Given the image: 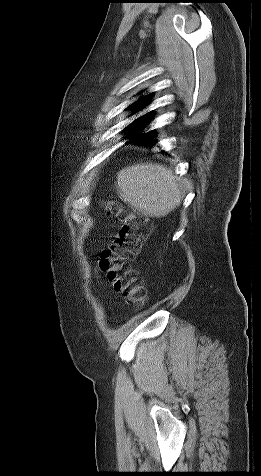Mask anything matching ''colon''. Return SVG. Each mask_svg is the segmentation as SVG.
Masks as SVG:
<instances>
[{"label":"colon","instance_id":"obj_1","mask_svg":"<svg viewBox=\"0 0 261 476\" xmlns=\"http://www.w3.org/2000/svg\"><path fill=\"white\" fill-rule=\"evenodd\" d=\"M105 210L118 225V231L101 252L99 268L106 273L116 292L121 293L129 304L141 307L146 302L147 293L131 263L140 253L143 239L150 233V222L115 201L106 202Z\"/></svg>","mask_w":261,"mask_h":476}]
</instances>
